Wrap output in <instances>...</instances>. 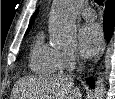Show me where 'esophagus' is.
I'll list each match as a JSON object with an SVG mask.
<instances>
[{"mask_svg": "<svg viewBox=\"0 0 115 99\" xmlns=\"http://www.w3.org/2000/svg\"><path fill=\"white\" fill-rule=\"evenodd\" d=\"M104 50H105V43L102 44L99 52L95 56L93 64H96L99 61V59L101 58L102 54L104 53Z\"/></svg>", "mask_w": 115, "mask_h": 99, "instance_id": "34e87169", "label": "esophagus"}]
</instances>
